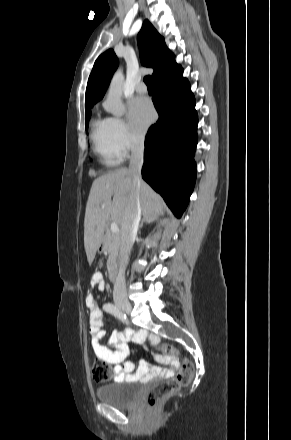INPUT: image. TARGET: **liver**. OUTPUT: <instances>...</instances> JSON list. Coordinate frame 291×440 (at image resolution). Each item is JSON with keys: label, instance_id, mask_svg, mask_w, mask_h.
I'll use <instances>...</instances> for the list:
<instances>
[{"label": "liver", "instance_id": "obj_1", "mask_svg": "<svg viewBox=\"0 0 291 440\" xmlns=\"http://www.w3.org/2000/svg\"><path fill=\"white\" fill-rule=\"evenodd\" d=\"M134 189L132 175L126 168L111 171L93 181L84 219V246L89 264L93 262L102 243L107 221L111 219L121 225ZM139 202L143 216L163 213L164 203L161 197L142 180Z\"/></svg>", "mask_w": 291, "mask_h": 440}]
</instances>
